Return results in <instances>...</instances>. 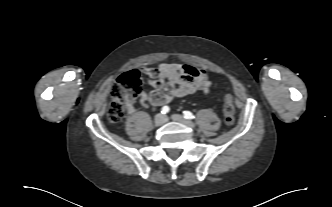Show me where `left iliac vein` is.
I'll return each instance as SVG.
<instances>
[{
    "mask_svg": "<svg viewBox=\"0 0 332 207\" xmlns=\"http://www.w3.org/2000/svg\"><path fill=\"white\" fill-rule=\"evenodd\" d=\"M171 117L174 121L182 123V124L192 128V129L195 128V124L192 121H190V120L186 119L185 117H183L182 115L173 114Z\"/></svg>",
    "mask_w": 332,
    "mask_h": 207,
    "instance_id": "obj_1",
    "label": "left iliac vein"
}]
</instances>
